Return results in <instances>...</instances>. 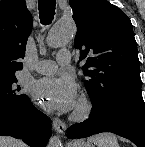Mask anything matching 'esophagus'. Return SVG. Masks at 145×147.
Masks as SVG:
<instances>
[{"label": "esophagus", "mask_w": 145, "mask_h": 147, "mask_svg": "<svg viewBox=\"0 0 145 147\" xmlns=\"http://www.w3.org/2000/svg\"><path fill=\"white\" fill-rule=\"evenodd\" d=\"M52 125H53L54 130L59 134H63L66 131L65 123L59 118H54Z\"/></svg>", "instance_id": "esophagus-1"}]
</instances>
